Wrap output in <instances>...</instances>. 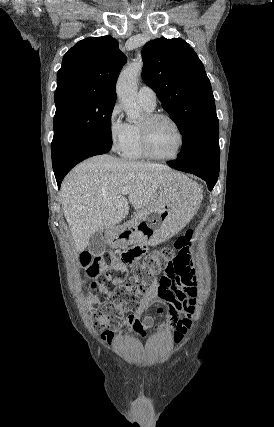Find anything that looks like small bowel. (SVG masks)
<instances>
[{
    "label": "small bowel",
    "mask_w": 274,
    "mask_h": 427,
    "mask_svg": "<svg viewBox=\"0 0 274 427\" xmlns=\"http://www.w3.org/2000/svg\"><path fill=\"white\" fill-rule=\"evenodd\" d=\"M177 249L181 253L170 254L169 260L178 263L170 264L164 275L152 281L135 312L124 322L140 339H144L147 331L153 327V320L148 311L154 304L167 305L172 313L179 315L178 330L175 334L177 342L183 339V334L192 324L198 294L196 270L190 256L191 247L185 244L178 246ZM153 316L158 326L164 325L167 316L165 311H155ZM112 336V330H107L104 338L110 340Z\"/></svg>",
    "instance_id": "1"
}]
</instances>
